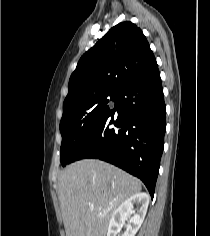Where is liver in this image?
Segmentation results:
<instances>
[{"label": "liver", "mask_w": 210, "mask_h": 236, "mask_svg": "<svg viewBox=\"0 0 210 236\" xmlns=\"http://www.w3.org/2000/svg\"><path fill=\"white\" fill-rule=\"evenodd\" d=\"M141 189L138 179L109 163L84 159L70 164L58 178L66 236H105L116 208Z\"/></svg>", "instance_id": "1"}]
</instances>
